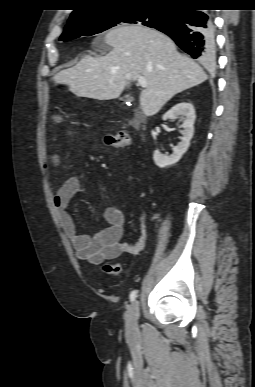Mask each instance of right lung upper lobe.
<instances>
[{
	"mask_svg": "<svg viewBox=\"0 0 255 387\" xmlns=\"http://www.w3.org/2000/svg\"><path fill=\"white\" fill-rule=\"evenodd\" d=\"M200 0H77V8L72 12L68 22L121 6H157L176 7L198 3Z\"/></svg>",
	"mask_w": 255,
	"mask_h": 387,
	"instance_id": "obj_1",
	"label": "right lung upper lobe"
}]
</instances>
